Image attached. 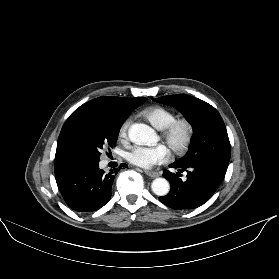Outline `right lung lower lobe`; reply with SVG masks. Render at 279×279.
<instances>
[{"label":"right lung lower lobe","instance_id":"1","mask_svg":"<svg viewBox=\"0 0 279 279\" xmlns=\"http://www.w3.org/2000/svg\"><path fill=\"white\" fill-rule=\"evenodd\" d=\"M118 171L115 168L105 173L99 169V161L68 162L55 168V178L71 209L92 212L109 201L111 186Z\"/></svg>","mask_w":279,"mask_h":279}]
</instances>
